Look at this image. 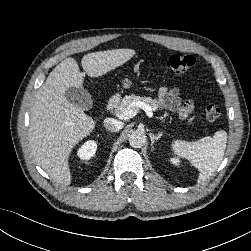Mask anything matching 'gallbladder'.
<instances>
[{"label":"gallbladder","mask_w":251,"mask_h":251,"mask_svg":"<svg viewBox=\"0 0 251 251\" xmlns=\"http://www.w3.org/2000/svg\"><path fill=\"white\" fill-rule=\"evenodd\" d=\"M65 98L72 104L78 106L82 110H89L92 108L93 100L87 90L80 87H70L65 92Z\"/></svg>","instance_id":"gallbladder-1"}]
</instances>
